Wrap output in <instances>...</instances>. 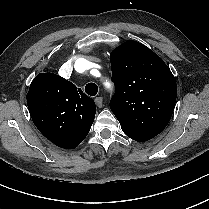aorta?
<instances>
[{
    "label": "aorta",
    "instance_id": "1",
    "mask_svg": "<svg viewBox=\"0 0 209 209\" xmlns=\"http://www.w3.org/2000/svg\"><path fill=\"white\" fill-rule=\"evenodd\" d=\"M82 61H83V59H79V60H77V62H76V66H78V64H80Z\"/></svg>",
    "mask_w": 209,
    "mask_h": 209
}]
</instances>
